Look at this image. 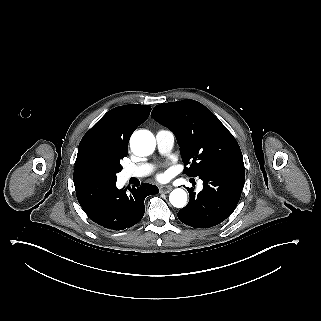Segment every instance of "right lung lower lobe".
Returning a JSON list of instances; mask_svg holds the SVG:
<instances>
[{
	"mask_svg": "<svg viewBox=\"0 0 321 321\" xmlns=\"http://www.w3.org/2000/svg\"><path fill=\"white\" fill-rule=\"evenodd\" d=\"M79 204L95 223L112 230L137 224L145 212L144 200L157 194V186L143 183L126 193L117 189L116 181L87 178L74 183Z\"/></svg>",
	"mask_w": 321,
	"mask_h": 321,
	"instance_id": "1",
	"label": "right lung lower lobe"
}]
</instances>
